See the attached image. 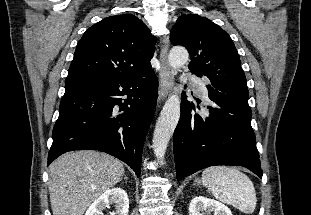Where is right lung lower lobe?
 <instances>
[{"label":"right lung lower lobe","mask_w":311,"mask_h":215,"mask_svg":"<svg viewBox=\"0 0 311 215\" xmlns=\"http://www.w3.org/2000/svg\"><path fill=\"white\" fill-rule=\"evenodd\" d=\"M157 88L154 71L131 79L97 77L66 82L48 165L65 152L91 149L115 156L140 176Z\"/></svg>","instance_id":"obj_1"}]
</instances>
